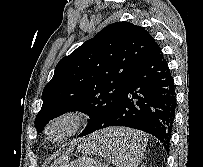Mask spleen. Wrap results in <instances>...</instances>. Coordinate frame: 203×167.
Returning a JSON list of instances; mask_svg holds the SVG:
<instances>
[{
	"label": "spleen",
	"instance_id": "3e777b00",
	"mask_svg": "<svg viewBox=\"0 0 203 167\" xmlns=\"http://www.w3.org/2000/svg\"><path fill=\"white\" fill-rule=\"evenodd\" d=\"M147 138L141 139L137 147L130 149L125 144L121 148H107L100 146V139H95L90 142V152L100 154L105 159L115 163L117 167H138L144 155ZM139 147L140 157L136 155V149Z\"/></svg>",
	"mask_w": 203,
	"mask_h": 167
}]
</instances>
